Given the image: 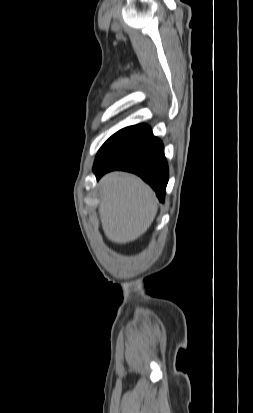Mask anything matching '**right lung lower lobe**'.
<instances>
[{"label": "right lung lower lobe", "mask_w": 253, "mask_h": 413, "mask_svg": "<svg viewBox=\"0 0 253 413\" xmlns=\"http://www.w3.org/2000/svg\"><path fill=\"white\" fill-rule=\"evenodd\" d=\"M112 170H125L139 175L156 191L158 199L164 202L168 165L163 144L152 133L94 166L98 179Z\"/></svg>", "instance_id": "98d812e1"}]
</instances>
